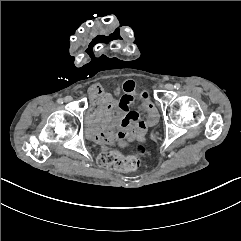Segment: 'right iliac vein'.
<instances>
[{"label":"right iliac vein","instance_id":"63e3f726","mask_svg":"<svg viewBox=\"0 0 241 241\" xmlns=\"http://www.w3.org/2000/svg\"><path fill=\"white\" fill-rule=\"evenodd\" d=\"M71 100H72L71 96H66L64 99L65 102H70Z\"/></svg>","mask_w":241,"mask_h":241}]
</instances>
